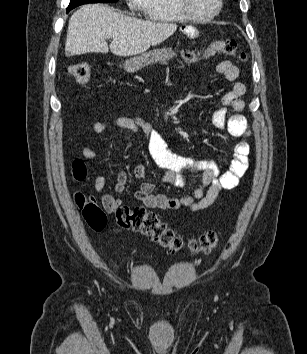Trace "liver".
I'll list each match as a JSON object with an SVG mask.
<instances>
[{
    "label": "liver",
    "instance_id": "6515ba94",
    "mask_svg": "<svg viewBox=\"0 0 307 354\" xmlns=\"http://www.w3.org/2000/svg\"><path fill=\"white\" fill-rule=\"evenodd\" d=\"M177 30L172 23L144 21L116 13L102 4H87L69 19L65 43L66 55L90 52L127 57L144 53ZM112 38L108 46L106 40Z\"/></svg>",
    "mask_w": 307,
    "mask_h": 354
}]
</instances>
